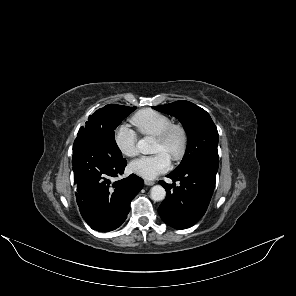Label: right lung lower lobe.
Masks as SVG:
<instances>
[{
    "mask_svg": "<svg viewBox=\"0 0 296 296\" xmlns=\"http://www.w3.org/2000/svg\"><path fill=\"white\" fill-rule=\"evenodd\" d=\"M72 165L76 200L84 220L99 232L118 228L144 181L131 174L113 182V178L124 173L126 160L115 158L108 149L90 139H75Z\"/></svg>",
    "mask_w": 296,
    "mask_h": 296,
    "instance_id": "98d812e1",
    "label": "right lung lower lobe"
}]
</instances>
